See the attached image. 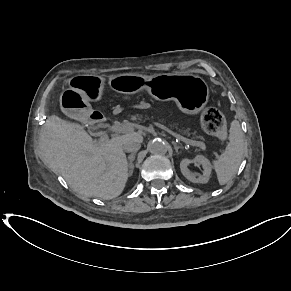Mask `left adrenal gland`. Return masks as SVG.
<instances>
[{"label":"left adrenal gland","instance_id":"obj_1","mask_svg":"<svg viewBox=\"0 0 291 291\" xmlns=\"http://www.w3.org/2000/svg\"><path fill=\"white\" fill-rule=\"evenodd\" d=\"M172 144L174 145V148H175L176 153H178V150H179L181 147L178 146L177 143L174 142V141L172 142Z\"/></svg>","mask_w":291,"mask_h":291}]
</instances>
